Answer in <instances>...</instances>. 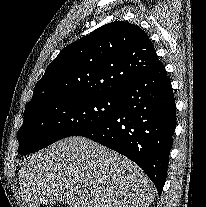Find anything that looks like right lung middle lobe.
Masks as SVG:
<instances>
[{
	"mask_svg": "<svg viewBox=\"0 0 206 207\" xmlns=\"http://www.w3.org/2000/svg\"><path fill=\"white\" fill-rule=\"evenodd\" d=\"M120 104V94L68 96L36 104L25 111L18 153L25 155L77 135L112 116Z\"/></svg>",
	"mask_w": 206,
	"mask_h": 207,
	"instance_id": "obj_1",
	"label": "right lung middle lobe"
}]
</instances>
